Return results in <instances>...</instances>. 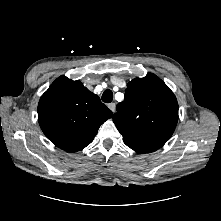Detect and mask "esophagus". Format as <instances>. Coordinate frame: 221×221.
Instances as JSON below:
<instances>
[{
  "label": "esophagus",
  "mask_w": 221,
  "mask_h": 221,
  "mask_svg": "<svg viewBox=\"0 0 221 221\" xmlns=\"http://www.w3.org/2000/svg\"><path fill=\"white\" fill-rule=\"evenodd\" d=\"M108 108H109L112 112H115V103H110V104H108Z\"/></svg>",
  "instance_id": "1"
}]
</instances>
